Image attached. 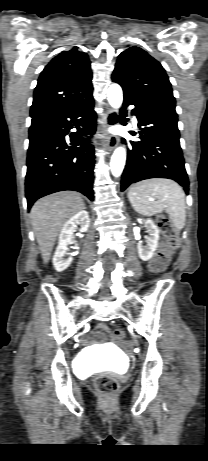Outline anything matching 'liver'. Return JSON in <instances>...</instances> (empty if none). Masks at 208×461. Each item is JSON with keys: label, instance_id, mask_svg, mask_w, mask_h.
<instances>
[{"label": "liver", "instance_id": "liver-1", "mask_svg": "<svg viewBox=\"0 0 208 461\" xmlns=\"http://www.w3.org/2000/svg\"><path fill=\"white\" fill-rule=\"evenodd\" d=\"M84 208V202L76 192L51 194L34 204L30 218L44 263L50 260L56 238L64 223Z\"/></svg>", "mask_w": 208, "mask_h": 461}]
</instances>
